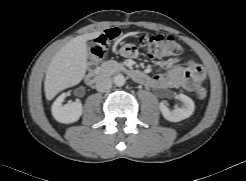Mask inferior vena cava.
I'll list each match as a JSON object with an SVG mask.
<instances>
[{
	"label": "inferior vena cava",
	"instance_id": "602c4592",
	"mask_svg": "<svg viewBox=\"0 0 246 181\" xmlns=\"http://www.w3.org/2000/svg\"><path fill=\"white\" fill-rule=\"evenodd\" d=\"M96 90L99 92H105L111 89L112 79L108 76H100L96 81Z\"/></svg>",
	"mask_w": 246,
	"mask_h": 181
}]
</instances>
